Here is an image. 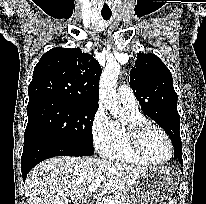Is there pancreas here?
<instances>
[{
    "label": "pancreas",
    "mask_w": 206,
    "mask_h": 204,
    "mask_svg": "<svg viewBox=\"0 0 206 204\" xmlns=\"http://www.w3.org/2000/svg\"><path fill=\"white\" fill-rule=\"evenodd\" d=\"M109 199L114 200L116 204H128L124 191L115 193L113 196L109 197ZM100 204H104V201Z\"/></svg>",
    "instance_id": "cf45deb5"
}]
</instances>
